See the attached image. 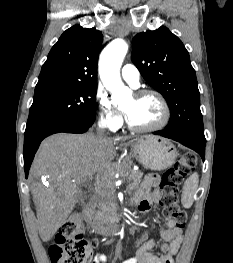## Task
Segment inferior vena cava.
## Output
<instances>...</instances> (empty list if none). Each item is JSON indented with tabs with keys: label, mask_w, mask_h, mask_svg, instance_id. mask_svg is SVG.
<instances>
[{
	"label": "inferior vena cava",
	"mask_w": 233,
	"mask_h": 263,
	"mask_svg": "<svg viewBox=\"0 0 233 263\" xmlns=\"http://www.w3.org/2000/svg\"><path fill=\"white\" fill-rule=\"evenodd\" d=\"M105 128L100 124L98 123V128H97V138L100 140V141H103L106 139V136H105ZM102 183V181L100 180H97V185L99 186L100 184Z\"/></svg>",
	"instance_id": "obj_1"
}]
</instances>
